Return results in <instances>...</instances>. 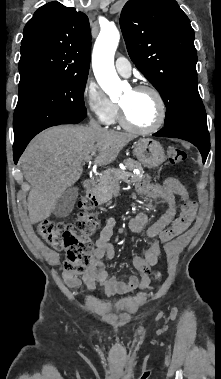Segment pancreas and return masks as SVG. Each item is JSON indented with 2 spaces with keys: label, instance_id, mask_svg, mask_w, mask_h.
<instances>
[{
  "label": "pancreas",
  "instance_id": "1",
  "mask_svg": "<svg viewBox=\"0 0 221 379\" xmlns=\"http://www.w3.org/2000/svg\"><path fill=\"white\" fill-rule=\"evenodd\" d=\"M125 165L131 169H138L140 174H133L131 172H125L117 168L108 169L98 180L96 194L98 198L103 201H109L113 194L119 189V181L122 180L127 183L137 182L143 173L141 164L131 158L125 160Z\"/></svg>",
  "mask_w": 221,
  "mask_h": 379
}]
</instances>
